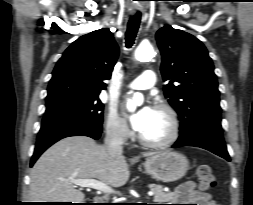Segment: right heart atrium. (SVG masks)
Here are the masks:
<instances>
[{"instance_id": "right-heart-atrium-1", "label": "right heart atrium", "mask_w": 253, "mask_h": 205, "mask_svg": "<svg viewBox=\"0 0 253 205\" xmlns=\"http://www.w3.org/2000/svg\"><path fill=\"white\" fill-rule=\"evenodd\" d=\"M107 135L119 142L126 141L130 136V129L126 120L115 110H109L105 119Z\"/></svg>"}]
</instances>
